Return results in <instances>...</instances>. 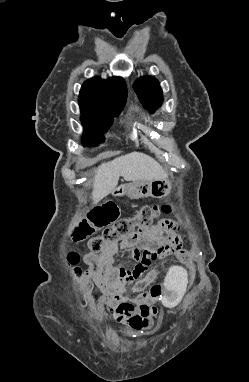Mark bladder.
Listing matches in <instances>:
<instances>
[{"mask_svg":"<svg viewBox=\"0 0 249 382\" xmlns=\"http://www.w3.org/2000/svg\"><path fill=\"white\" fill-rule=\"evenodd\" d=\"M119 335L125 337V338H133L137 335V333L131 329L126 328H118L115 330Z\"/></svg>","mask_w":249,"mask_h":382,"instance_id":"1","label":"bladder"}]
</instances>
